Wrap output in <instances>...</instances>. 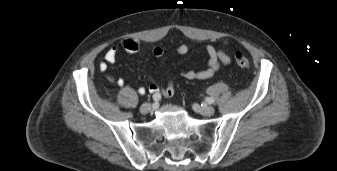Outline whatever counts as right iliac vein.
I'll return each mask as SVG.
<instances>
[{"label": "right iliac vein", "instance_id": "right-iliac-vein-1", "mask_svg": "<svg viewBox=\"0 0 337 171\" xmlns=\"http://www.w3.org/2000/svg\"><path fill=\"white\" fill-rule=\"evenodd\" d=\"M152 110V105L150 103H144L140 107L141 114H147Z\"/></svg>", "mask_w": 337, "mask_h": 171}]
</instances>
